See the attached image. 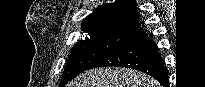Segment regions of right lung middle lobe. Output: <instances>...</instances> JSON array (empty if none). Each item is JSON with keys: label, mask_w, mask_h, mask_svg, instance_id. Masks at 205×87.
I'll return each mask as SVG.
<instances>
[{"label": "right lung middle lobe", "mask_w": 205, "mask_h": 87, "mask_svg": "<svg viewBox=\"0 0 205 87\" xmlns=\"http://www.w3.org/2000/svg\"><path fill=\"white\" fill-rule=\"evenodd\" d=\"M133 34L120 31H96L78 41L72 48L59 86L62 87L82 71L89 69Z\"/></svg>", "instance_id": "right-lung-middle-lobe-1"}]
</instances>
